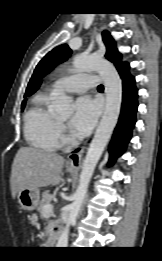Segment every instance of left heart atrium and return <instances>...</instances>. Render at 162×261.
<instances>
[{
    "instance_id": "obj_1",
    "label": "left heart atrium",
    "mask_w": 162,
    "mask_h": 261,
    "mask_svg": "<svg viewBox=\"0 0 162 261\" xmlns=\"http://www.w3.org/2000/svg\"><path fill=\"white\" fill-rule=\"evenodd\" d=\"M99 114L97 101L89 96L79 97L74 105L71 127L80 135L88 134L94 127Z\"/></svg>"
}]
</instances>
